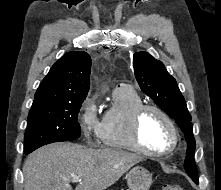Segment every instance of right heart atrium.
Segmentation results:
<instances>
[{
	"mask_svg": "<svg viewBox=\"0 0 221 190\" xmlns=\"http://www.w3.org/2000/svg\"><path fill=\"white\" fill-rule=\"evenodd\" d=\"M78 118L80 128L88 140L93 137H99L100 120L94 99L88 97L84 100L80 107Z\"/></svg>",
	"mask_w": 221,
	"mask_h": 190,
	"instance_id": "1",
	"label": "right heart atrium"
}]
</instances>
